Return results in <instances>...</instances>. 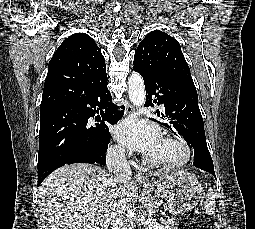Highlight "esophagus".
<instances>
[{
    "label": "esophagus",
    "instance_id": "1",
    "mask_svg": "<svg viewBox=\"0 0 255 229\" xmlns=\"http://www.w3.org/2000/svg\"><path fill=\"white\" fill-rule=\"evenodd\" d=\"M134 107L132 105H128L126 107V111H125V115L128 116L130 114H132L134 112ZM134 178L137 182L141 183V184H144V185H150V182L148 180V178L143 175L141 172H134Z\"/></svg>",
    "mask_w": 255,
    "mask_h": 229
}]
</instances>
